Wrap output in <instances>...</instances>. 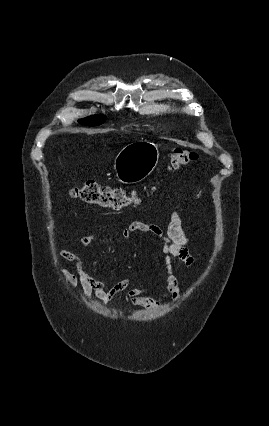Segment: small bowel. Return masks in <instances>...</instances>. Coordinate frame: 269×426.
<instances>
[{
  "mask_svg": "<svg viewBox=\"0 0 269 426\" xmlns=\"http://www.w3.org/2000/svg\"><path fill=\"white\" fill-rule=\"evenodd\" d=\"M141 233L153 238H158L163 242L161 249L163 255L164 268L166 270L165 292L158 297L150 296L151 288L139 287L128 289L131 278L125 277L118 281L109 290L106 289L107 279L95 278L84 267L81 257L63 248L61 255L67 261L75 264V273L60 268L61 276L70 287L78 285L83 289L85 298L88 300L96 297L103 305H108L117 295L124 293L125 296L135 306L145 309L159 308L168 299L179 300L181 298L182 286L173 271V258L179 259L187 268L194 266V257L190 254L187 244L188 238L181 227V219L178 212H172L165 229L155 223L145 221H133L127 227L119 229L121 238L130 239L132 234ZM99 235L91 234L82 239V245L88 248Z\"/></svg>",
  "mask_w": 269,
  "mask_h": 426,
  "instance_id": "obj_1",
  "label": "small bowel"
}]
</instances>
